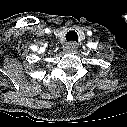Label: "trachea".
<instances>
[{
  "label": "trachea",
  "instance_id": "1",
  "mask_svg": "<svg viewBox=\"0 0 127 127\" xmlns=\"http://www.w3.org/2000/svg\"><path fill=\"white\" fill-rule=\"evenodd\" d=\"M66 40L67 41H73V42H78V35L75 31H69L66 34Z\"/></svg>",
  "mask_w": 127,
  "mask_h": 127
}]
</instances>
